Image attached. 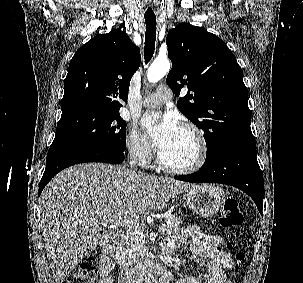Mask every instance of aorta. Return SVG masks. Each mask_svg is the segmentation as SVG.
I'll use <instances>...</instances> for the list:
<instances>
[{
	"label": "aorta",
	"instance_id": "aorta-1",
	"mask_svg": "<svg viewBox=\"0 0 303 283\" xmlns=\"http://www.w3.org/2000/svg\"><path fill=\"white\" fill-rule=\"evenodd\" d=\"M170 70V62L167 59H156L147 71V79L150 83H156ZM145 283H153L150 274L145 277Z\"/></svg>",
	"mask_w": 303,
	"mask_h": 283
}]
</instances>
